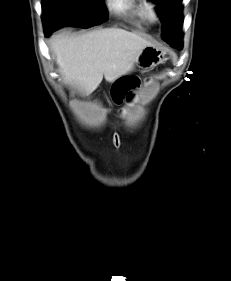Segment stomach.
Listing matches in <instances>:
<instances>
[{"label": "stomach", "mask_w": 231, "mask_h": 281, "mask_svg": "<svg viewBox=\"0 0 231 281\" xmlns=\"http://www.w3.org/2000/svg\"><path fill=\"white\" fill-rule=\"evenodd\" d=\"M165 54L154 46L145 47L139 54L136 65L142 69L155 67L164 61Z\"/></svg>", "instance_id": "0dacf381"}]
</instances>
